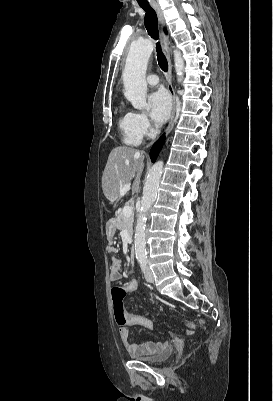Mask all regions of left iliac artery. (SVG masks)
Listing matches in <instances>:
<instances>
[{
    "mask_svg": "<svg viewBox=\"0 0 273 401\" xmlns=\"http://www.w3.org/2000/svg\"><path fill=\"white\" fill-rule=\"evenodd\" d=\"M140 263H141L142 271H145V269H146V258H142Z\"/></svg>",
    "mask_w": 273,
    "mask_h": 401,
    "instance_id": "obj_1",
    "label": "left iliac artery"
}]
</instances>
